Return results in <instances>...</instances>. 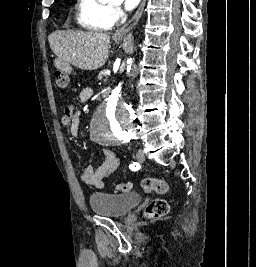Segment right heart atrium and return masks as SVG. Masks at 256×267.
<instances>
[{"mask_svg":"<svg viewBox=\"0 0 256 267\" xmlns=\"http://www.w3.org/2000/svg\"><path fill=\"white\" fill-rule=\"evenodd\" d=\"M121 8L119 5H113L110 11L111 16L113 17H120L121 16Z\"/></svg>","mask_w":256,"mask_h":267,"instance_id":"right-heart-atrium-1","label":"right heart atrium"}]
</instances>
